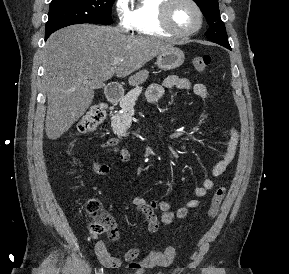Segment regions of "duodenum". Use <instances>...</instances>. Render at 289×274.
Returning a JSON list of instances; mask_svg holds the SVG:
<instances>
[{
  "label": "duodenum",
  "instance_id": "1",
  "mask_svg": "<svg viewBox=\"0 0 289 274\" xmlns=\"http://www.w3.org/2000/svg\"><path fill=\"white\" fill-rule=\"evenodd\" d=\"M105 95L110 103H116L122 96V90L116 83H111L106 87Z\"/></svg>",
  "mask_w": 289,
  "mask_h": 274
}]
</instances>
